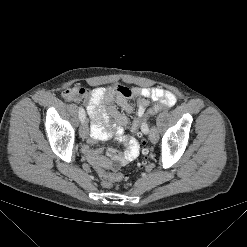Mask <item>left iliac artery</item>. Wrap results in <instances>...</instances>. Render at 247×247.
<instances>
[{"instance_id": "obj_1", "label": "left iliac artery", "mask_w": 247, "mask_h": 247, "mask_svg": "<svg viewBox=\"0 0 247 247\" xmlns=\"http://www.w3.org/2000/svg\"><path fill=\"white\" fill-rule=\"evenodd\" d=\"M144 124H146V123H144ZM142 127H143V125H142ZM144 130H145V133H146V134L149 132L148 125L146 126V128H145Z\"/></svg>"}]
</instances>
